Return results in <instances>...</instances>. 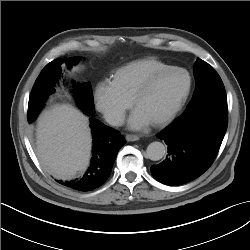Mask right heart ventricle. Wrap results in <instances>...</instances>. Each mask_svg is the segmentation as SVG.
I'll return each mask as SVG.
<instances>
[{
    "label": "right heart ventricle",
    "mask_w": 250,
    "mask_h": 250,
    "mask_svg": "<svg viewBox=\"0 0 250 250\" xmlns=\"http://www.w3.org/2000/svg\"><path fill=\"white\" fill-rule=\"evenodd\" d=\"M170 65L154 57H145L130 61L111 74L114 87L133 100L139 87L153 73Z\"/></svg>",
    "instance_id": "1"
}]
</instances>
